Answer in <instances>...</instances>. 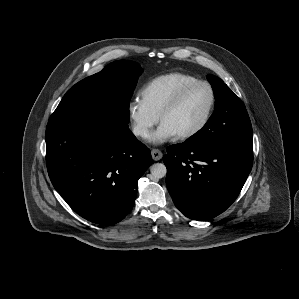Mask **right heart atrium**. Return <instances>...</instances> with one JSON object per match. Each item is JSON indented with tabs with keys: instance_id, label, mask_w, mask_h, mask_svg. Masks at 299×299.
Segmentation results:
<instances>
[{
	"instance_id": "d8ad5b80",
	"label": "right heart atrium",
	"mask_w": 299,
	"mask_h": 299,
	"mask_svg": "<svg viewBox=\"0 0 299 299\" xmlns=\"http://www.w3.org/2000/svg\"><path fill=\"white\" fill-rule=\"evenodd\" d=\"M127 113L132 131L139 138H146L159 120V116L153 113L140 99L129 102Z\"/></svg>"
}]
</instances>
